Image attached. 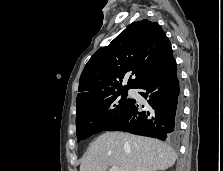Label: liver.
I'll list each match as a JSON object with an SVG mask.
<instances>
[{"instance_id":"liver-1","label":"liver","mask_w":223,"mask_h":171,"mask_svg":"<svg viewBox=\"0 0 223 171\" xmlns=\"http://www.w3.org/2000/svg\"><path fill=\"white\" fill-rule=\"evenodd\" d=\"M177 155L166 143L123 132H106L89 147L80 171H161L175 164Z\"/></svg>"}]
</instances>
